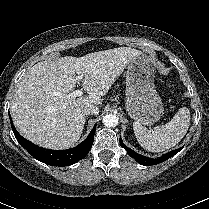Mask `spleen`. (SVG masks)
I'll return each mask as SVG.
<instances>
[{"instance_id": "3e777b00", "label": "spleen", "mask_w": 209, "mask_h": 209, "mask_svg": "<svg viewBox=\"0 0 209 209\" xmlns=\"http://www.w3.org/2000/svg\"><path fill=\"white\" fill-rule=\"evenodd\" d=\"M190 119L189 109L181 107L165 125L156 126L154 130L149 131L136 121L133 123V130L142 148L151 152H162L183 139L190 126Z\"/></svg>"}]
</instances>
